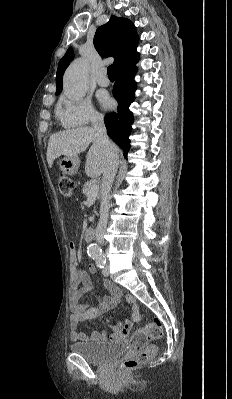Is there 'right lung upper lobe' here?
I'll return each mask as SVG.
<instances>
[{"mask_svg": "<svg viewBox=\"0 0 232 399\" xmlns=\"http://www.w3.org/2000/svg\"><path fill=\"white\" fill-rule=\"evenodd\" d=\"M138 40L135 26L131 21L111 16L106 24L96 30L93 43L101 56L114 57L113 65L116 70L119 66L139 56L136 52ZM73 57L74 52L70 47L59 62L56 75L57 95L62 91L63 74Z\"/></svg>", "mask_w": 232, "mask_h": 399, "instance_id": "obj_1", "label": "right lung upper lobe"}]
</instances>
